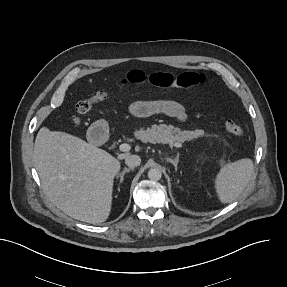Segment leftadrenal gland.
I'll list each match as a JSON object with an SVG mask.
<instances>
[{
  "instance_id": "left-adrenal-gland-1",
  "label": "left adrenal gland",
  "mask_w": 287,
  "mask_h": 287,
  "mask_svg": "<svg viewBox=\"0 0 287 287\" xmlns=\"http://www.w3.org/2000/svg\"><path fill=\"white\" fill-rule=\"evenodd\" d=\"M166 161L171 163V164H173V166L175 167V170L177 171V169H178V162H179L178 155H177V157L175 159L167 157Z\"/></svg>"
}]
</instances>
